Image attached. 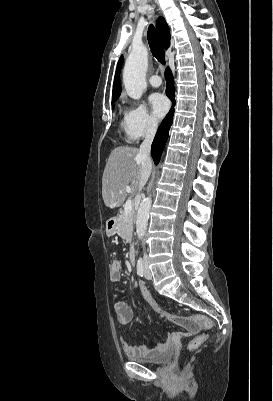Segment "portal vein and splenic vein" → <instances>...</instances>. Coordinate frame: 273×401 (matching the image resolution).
<instances>
[{"label": "portal vein and splenic vein", "instance_id": "obj_1", "mask_svg": "<svg viewBox=\"0 0 273 401\" xmlns=\"http://www.w3.org/2000/svg\"><path fill=\"white\" fill-rule=\"evenodd\" d=\"M126 192H131V186H126ZM132 211V203L131 201H126L124 207V213H131Z\"/></svg>", "mask_w": 273, "mask_h": 401}]
</instances>
